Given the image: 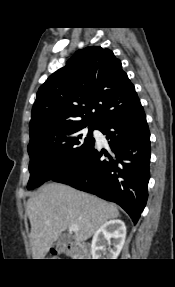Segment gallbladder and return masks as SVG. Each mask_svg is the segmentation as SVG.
<instances>
[{"instance_id": "gallbladder-1", "label": "gallbladder", "mask_w": 175, "mask_h": 287, "mask_svg": "<svg viewBox=\"0 0 175 287\" xmlns=\"http://www.w3.org/2000/svg\"><path fill=\"white\" fill-rule=\"evenodd\" d=\"M72 239V235L69 233H62L57 239L58 245H63Z\"/></svg>"}]
</instances>
